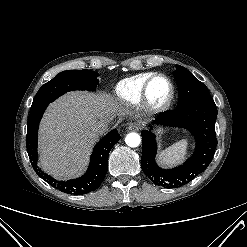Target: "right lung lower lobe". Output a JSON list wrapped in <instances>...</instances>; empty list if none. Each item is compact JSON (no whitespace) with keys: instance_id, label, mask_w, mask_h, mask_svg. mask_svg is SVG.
Segmentation results:
<instances>
[{"instance_id":"right-lung-lower-lobe-1","label":"right lung lower lobe","mask_w":247,"mask_h":247,"mask_svg":"<svg viewBox=\"0 0 247 247\" xmlns=\"http://www.w3.org/2000/svg\"><path fill=\"white\" fill-rule=\"evenodd\" d=\"M47 106L43 105L38 109L30 110L28 118L26 147L33 168L43 180L62 192L82 195L96 190L107 173L109 152L121 138L117 129L112 130L96 144L91 155L88 171L82 177L68 181H58L42 172L37 166L38 126Z\"/></svg>"}]
</instances>
